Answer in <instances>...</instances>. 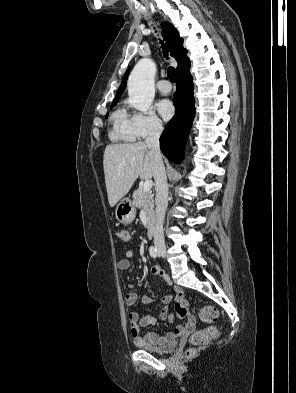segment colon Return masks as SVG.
Masks as SVG:
<instances>
[{"mask_svg": "<svg viewBox=\"0 0 296 393\" xmlns=\"http://www.w3.org/2000/svg\"><path fill=\"white\" fill-rule=\"evenodd\" d=\"M116 237L121 241H128L130 239L129 232L124 228H117L115 230ZM175 312L181 317L185 318L188 316V302L185 299H178L175 303ZM199 317L202 321L208 323H214L218 320V311L212 305H206L201 308ZM219 332L218 327L209 326L203 330L196 331L191 336V346L193 348L205 346L212 338H214Z\"/></svg>", "mask_w": 296, "mask_h": 393, "instance_id": "5ec220e1", "label": "colon"}]
</instances>
